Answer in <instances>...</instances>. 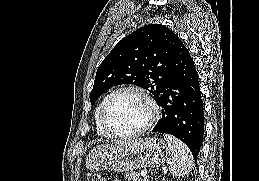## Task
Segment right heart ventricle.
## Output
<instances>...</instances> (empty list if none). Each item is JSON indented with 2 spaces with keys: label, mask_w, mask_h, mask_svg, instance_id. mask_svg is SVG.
I'll return each mask as SVG.
<instances>
[{
  "label": "right heart ventricle",
  "mask_w": 259,
  "mask_h": 181,
  "mask_svg": "<svg viewBox=\"0 0 259 181\" xmlns=\"http://www.w3.org/2000/svg\"><path fill=\"white\" fill-rule=\"evenodd\" d=\"M107 96L104 97L101 102L98 104L95 113H94V121H95V126H96V131L98 135L102 137H109V134L106 132V130L103 128L101 121H100V114H101V109L102 106L106 100Z\"/></svg>",
  "instance_id": "obj_1"
}]
</instances>
